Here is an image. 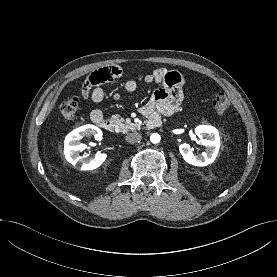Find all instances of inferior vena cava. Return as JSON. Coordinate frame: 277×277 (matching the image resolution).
<instances>
[{
	"label": "inferior vena cava",
	"instance_id": "1",
	"mask_svg": "<svg viewBox=\"0 0 277 277\" xmlns=\"http://www.w3.org/2000/svg\"><path fill=\"white\" fill-rule=\"evenodd\" d=\"M142 139V135L138 132H132V133H128L126 135V138L125 140L128 142V143H131V144H134V143H137L139 142L140 140Z\"/></svg>",
	"mask_w": 277,
	"mask_h": 277
}]
</instances>
